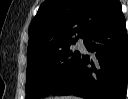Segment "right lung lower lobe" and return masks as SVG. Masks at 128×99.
<instances>
[{"instance_id":"obj_1","label":"right lung lower lobe","mask_w":128,"mask_h":99,"mask_svg":"<svg viewBox=\"0 0 128 99\" xmlns=\"http://www.w3.org/2000/svg\"><path fill=\"white\" fill-rule=\"evenodd\" d=\"M84 44L93 59L81 55L70 74L53 92L86 99H125L128 83V36L121 5L96 26Z\"/></svg>"}]
</instances>
